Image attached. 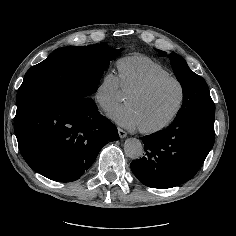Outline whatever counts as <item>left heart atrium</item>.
<instances>
[{"mask_svg":"<svg viewBox=\"0 0 236 236\" xmlns=\"http://www.w3.org/2000/svg\"><path fill=\"white\" fill-rule=\"evenodd\" d=\"M110 117L121 126L127 128L139 127V119L137 113L135 109L129 105L112 111L110 113Z\"/></svg>","mask_w":236,"mask_h":236,"instance_id":"39dd6f15","label":"left heart atrium"}]
</instances>
